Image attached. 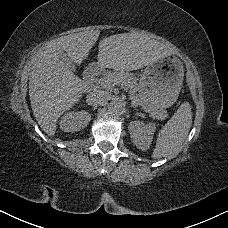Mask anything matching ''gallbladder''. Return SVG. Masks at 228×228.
<instances>
[{
	"instance_id": "bac80fb5",
	"label": "gallbladder",
	"mask_w": 228,
	"mask_h": 228,
	"mask_svg": "<svg viewBox=\"0 0 228 228\" xmlns=\"http://www.w3.org/2000/svg\"><path fill=\"white\" fill-rule=\"evenodd\" d=\"M59 52L61 53L62 59H63L64 61H67V64H68L69 66H71L72 71H73V72H76L75 66L72 65V64L70 63L69 58L64 54V52H62V51H59Z\"/></svg>"
}]
</instances>
